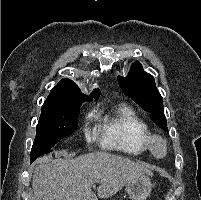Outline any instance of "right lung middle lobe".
Wrapping results in <instances>:
<instances>
[{"instance_id":"right-lung-middle-lobe-1","label":"right lung middle lobe","mask_w":201,"mask_h":200,"mask_svg":"<svg viewBox=\"0 0 201 200\" xmlns=\"http://www.w3.org/2000/svg\"><path fill=\"white\" fill-rule=\"evenodd\" d=\"M82 102L84 101H45L36 127L32 158L49 153L45 150L76 130Z\"/></svg>"}]
</instances>
